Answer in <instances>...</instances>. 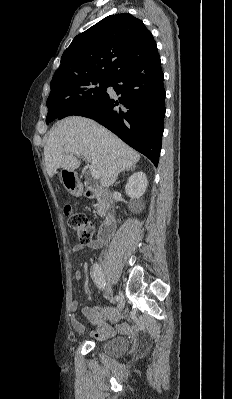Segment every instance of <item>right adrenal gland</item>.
<instances>
[{
    "mask_svg": "<svg viewBox=\"0 0 232 399\" xmlns=\"http://www.w3.org/2000/svg\"><path fill=\"white\" fill-rule=\"evenodd\" d=\"M136 170V166H131V168H128V170H122V172H134Z\"/></svg>",
    "mask_w": 232,
    "mask_h": 399,
    "instance_id": "1",
    "label": "right adrenal gland"
}]
</instances>
